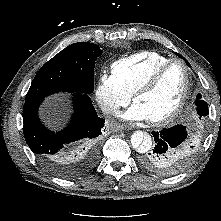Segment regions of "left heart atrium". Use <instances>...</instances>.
I'll list each match as a JSON object with an SVG mask.
<instances>
[{
	"instance_id": "1",
	"label": "left heart atrium",
	"mask_w": 221,
	"mask_h": 221,
	"mask_svg": "<svg viewBox=\"0 0 221 221\" xmlns=\"http://www.w3.org/2000/svg\"><path fill=\"white\" fill-rule=\"evenodd\" d=\"M121 117L127 121L150 120L145 110L137 103H134Z\"/></svg>"
}]
</instances>
